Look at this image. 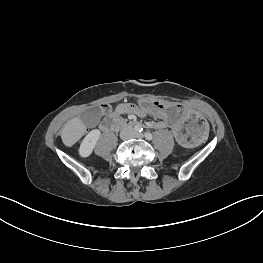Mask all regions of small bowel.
Masks as SVG:
<instances>
[{
  "label": "small bowel",
  "instance_id": "c3829d8e",
  "mask_svg": "<svg viewBox=\"0 0 263 263\" xmlns=\"http://www.w3.org/2000/svg\"><path fill=\"white\" fill-rule=\"evenodd\" d=\"M116 112L119 114H134L139 117L145 116L142 112V107H138L130 103H123V104L118 105L116 108ZM153 127L156 129L168 128L167 126L162 125L160 122L155 123Z\"/></svg>",
  "mask_w": 263,
  "mask_h": 263
}]
</instances>
